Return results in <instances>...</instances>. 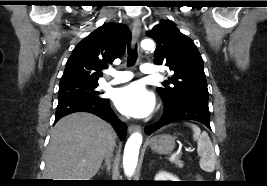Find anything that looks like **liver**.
Listing matches in <instances>:
<instances>
[{
    "label": "liver",
    "instance_id": "obj_1",
    "mask_svg": "<svg viewBox=\"0 0 267 186\" xmlns=\"http://www.w3.org/2000/svg\"><path fill=\"white\" fill-rule=\"evenodd\" d=\"M112 127L85 112L60 119L51 131L44 177L53 180H90L99 170L111 141Z\"/></svg>",
    "mask_w": 267,
    "mask_h": 186
}]
</instances>
